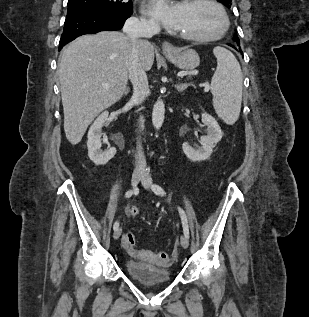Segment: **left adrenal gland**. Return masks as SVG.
Segmentation results:
<instances>
[{"label":"left adrenal gland","instance_id":"a2214340","mask_svg":"<svg viewBox=\"0 0 309 317\" xmlns=\"http://www.w3.org/2000/svg\"><path fill=\"white\" fill-rule=\"evenodd\" d=\"M191 83H177L175 88L178 92H183L188 86H191Z\"/></svg>","mask_w":309,"mask_h":317}]
</instances>
